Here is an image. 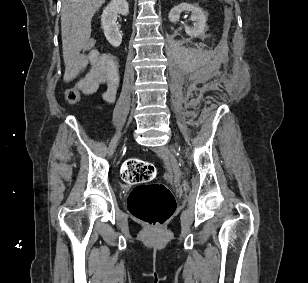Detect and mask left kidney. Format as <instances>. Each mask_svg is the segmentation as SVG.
<instances>
[{
    "mask_svg": "<svg viewBox=\"0 0 308 283\" xmlns=\"http://www.w3.org/2000/svg\"><path fill=\"white\" fill-rule=\"evenodd\" d=\"M183 11L191 12V21L193 27L185 26V32L192 37L201 35L206 28V16L204 11L197 5L181 3L173 7L169 12V19L172 23H177L180 18V13Z\"/></svg>",
    "mask_w": 308,
    "mask_h": 283,
    "instance_id": "obj_1",
    "label": "left kidney"
}]
</instances>
